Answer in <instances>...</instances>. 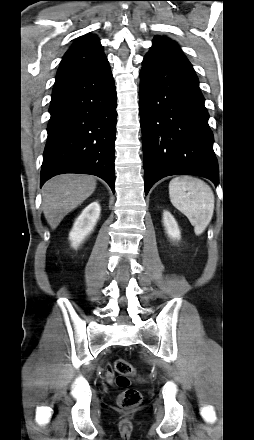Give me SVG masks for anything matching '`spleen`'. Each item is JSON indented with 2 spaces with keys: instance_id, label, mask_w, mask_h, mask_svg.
Instances as JSON below:
<instances>
[{
  "instance_id": "1",
  "label": "spleen",
  "mask_w": 254,
  "mask_h": 440,
  "mask_svg": "<svg viewBox=\"0 0 254 440\" xmlns=\"http://www.w3.org/2000/svg\"><path fill=\"white\" fill-rule=\"evenodd\" d=\"M171 203L182 212L201 235L210 223L214 212V194L211 187L199 178L178 176L169 183Z\"/></svg>"
}]
</instances>
